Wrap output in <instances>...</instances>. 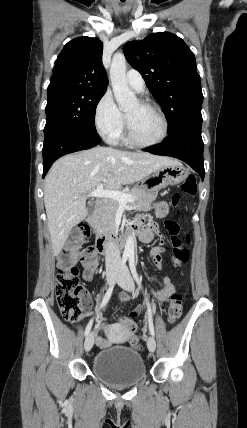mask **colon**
Wrapping results in <instances>:
<instances>
[{"label":"colon","mask_w":247,"mask_h":428,"mask_svg":"<svg viewBox=\"0 0 247 428\" xmlns=\"http://www.w3.org/2000/svg\"><path fill=\"white\" fill-rule=\"evenodd\" d=\"M182 193L194 196L197 192V182L193 176H189L180 186ZM180 202V194L176 193L172 198V203L177 206ZM166 228L171 234V242L173 245V261L174 265L178 268H182L188 261V250L186 246L190 242L189 235L182 236L179 234V226L174 222H168ZM91 231L88 225L80 224L75 229V236H73V244L69 247L64 248L58 256L59 269L56 277V298L63 318L68 322H76L82 315V299L85 296V291L82 285L79 283V270L74 264L76 256V245L77 242L86 241L89 239ZM85 265L94 269L96 262L92 257L85 258ZM135 309L130 310L126 308L123 314L126 318L122 317V312H118L120 315V323L124 324V330L127 333H131V340L128 345L131 348L138 347L137 342L139 335L134 334L138 332V325L134 324L133 318L139 317L143 313V305L140 302L135 303ZM158 308L164 309V300L158 301ZM183 308V297L179 291H175L170 298L167 321L169 324L176 323L181 315ZM156 313H161L160 310H156ZM122 317V318H121Z\"/></svg>","instance_id":"5ec220e1"}]
</instances>
